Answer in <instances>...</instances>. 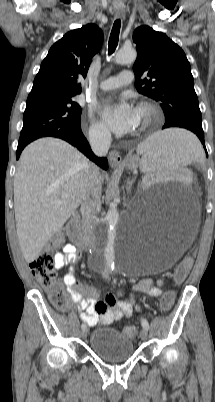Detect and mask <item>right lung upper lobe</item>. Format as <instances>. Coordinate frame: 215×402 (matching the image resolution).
Returning <instances> with one entry per match:
<instances>
[{
	"label": "right lung upper lobe",
	"instance_id": "obj_1",
	"mask_svg": "<svg viewBox=\"0 0 215 402\" xmlns=\"http://www.w3.org/2000/svg\"><path fill=\"white\" fill-rule=\"evenodd\" d=\"M103 33L95 24L66 33L49 50L36 75L30 95L81 93L91 58L100 50Z\"/></svg>",
	"mask_w": 215,
	"mask_h": 402
}]
</instances>
